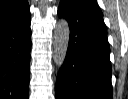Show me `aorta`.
I'll return each mask as SVG.
<instances>
[{"label": "aorta", "instance_id": "obj_1", "mask_svg": "<svg viewBox=\"0 0 128 99\" xmlns=\"http://www.w3.org/2000/svg\"><path fill=\"white\" fill-rule=\"evenodd\" d=\"M70 28L69 24L65 19H60L57 22L54 31V62L58 67H61L64 63L66 53L69 45Z\"/></svg>", "mask_w": 128, "mask_h": 99}]
</instances>
